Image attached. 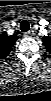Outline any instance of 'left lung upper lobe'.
I'll use <instances>...</instances> for the list:
<instances>
[{"label": "left lung upper lobe", "instance_id": "1", "mask_svg": "<svg viewBox=\"0 0 51 101\" xmlns=\"http://www.w3.org/2000/svg\"><path fill=\"white\" fill-rule=\"evenodd\" d=\"M43 44L46 47L48 52H51V38L50 37H43Z\"/></svg>", "mask_w": 51, "mask_h": 101}]
</instances>
